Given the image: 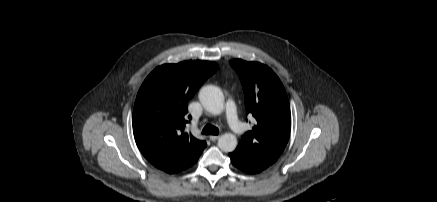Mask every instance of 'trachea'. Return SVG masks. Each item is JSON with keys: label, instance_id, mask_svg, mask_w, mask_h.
<instances>
[{"label": "trachea", "instance_id": "1", "mask_svg": "<svg viewBox=\"0 0 437 202\" xmlns=\"http://www.w3.org/2000/svg\"><path fill=\"white\" fill-rule=\"evenodd\" d=\"M202 133L205 135H218L219 129L211 124L204 126Z\"/></svg>", "mask_w": 437, "mask_h": 202}]
</instances>
